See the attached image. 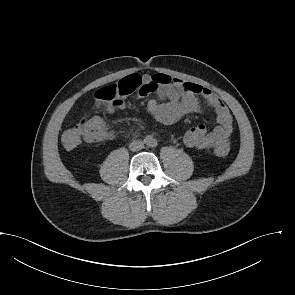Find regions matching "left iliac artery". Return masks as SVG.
Returning <instances> with one entry per match:
<instances>
[{
  "mask_svg": "<svg viewBox=\"0 0 295 295\" xmlns=\"http://www.w3.org/2000/svg\"><path fill=\"white\" fill-rule=\"evenodd\" d=\"M157 145H158V143H157L156 140H152V141L150 142V146H151L152 148H155Z\"/></svg>",
  "mask_w": 295,
  "mask_h": 295,
  "instance_id": "44dca946",
  "label": "left iliac artery"
}]
</instances>
